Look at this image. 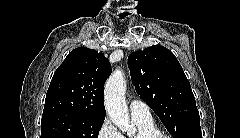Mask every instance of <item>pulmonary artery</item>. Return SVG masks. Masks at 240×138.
Masks as SVG:
<instances>
[{
  "label": "pulmonary artery",
  "mask_w": 240,
  "mask_h": 138,
  "mask_svg": "<svg viewBox=\"0 0 240 138\" xmlns=\"http://www.w3.org/2000/svg\"><path fill=\"white\" fill-rule=\"evenodd\" d=\"M130 112L132 117H151L149 106L144 101L139 99H133L130 102Z\"/></svg>",
  "instance_id": "obj_1"
}]
</instances>
